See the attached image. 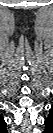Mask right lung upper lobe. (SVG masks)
Masks as SVG:
<instances>
[{
	"label": "right lung upper lobe",
	"mask_w": 53,
	"mask_h": 133,
	"mask_svg": "<svg viewBox=\"0 0 53 133\" xmlns=\"http://www.w3.org/2000/svg\"><path fill=\"white\" fill-rule=\"evenodd\" d=\"M0 126H1V129H3L4 131H6V123L4 121L3 118L0 119Z\"/></svg>",
	"instance_id": "cb5924a9"
}]
</instances>
